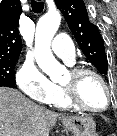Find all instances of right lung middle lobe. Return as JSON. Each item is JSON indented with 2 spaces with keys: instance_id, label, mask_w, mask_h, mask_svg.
I'll return each mask as SVG.
<instances>
[{
  "instance_id": "dd1d6c3e",
  "label": "right lung middle lobe",
  "mask_w": 117,
  "mask_h": 136,
  "mask_svg": "<svg viewBox=\"0 0 117 136\" xmlns=\"http://www.w3.org/2000/svg\"><path fill=\"white\" fill-rule=\"evenodd\" d=\"M18 59H0V85L15 86L14 69Z\"/></svg>"
}]
</instances>
